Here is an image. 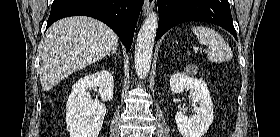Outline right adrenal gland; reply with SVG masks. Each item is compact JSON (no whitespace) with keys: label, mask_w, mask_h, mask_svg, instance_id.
I'll return each instance as SVG.
<instances>
[{"label":"right adrenal gland","mask_w":280,"mask_h":137,"mask_svg":"<svg viewBox=\"0 0 280 137\" xmlns=\"http://www.w3.org/2000/svg\"><path fill=\"white\" fill-rule=\"evenodd\" d=\"M111 54H115L116 56H119V53L117 52V48H114L112 50Z\"/></svg>","instance_id":"obj_1"}]
</instances>
